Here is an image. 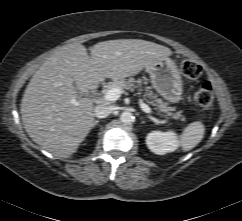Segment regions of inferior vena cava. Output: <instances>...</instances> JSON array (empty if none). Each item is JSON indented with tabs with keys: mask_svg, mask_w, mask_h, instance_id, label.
<instances>
[{
	"mask_svg": "<svg viewBox=\"0 0 242 221\" xmlns=\"http://www.w3.org/2000/svg\"><path fill=\"white\" fill-rule=\"evenodd\" d=\"M113 112V108L111 106H106V105H97L94 108V115L97 118H106Z\"/></svg>",
	"mask_w": 242,
	"mask_h": 221,
	"instance_id": "obj_1",
	"label": "inferior vena cava"
}]
</instances>
